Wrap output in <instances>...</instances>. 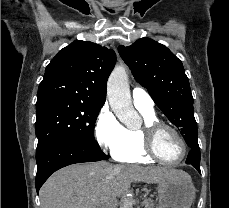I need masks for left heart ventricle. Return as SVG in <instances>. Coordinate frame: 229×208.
I'll list each match as a JSON object with an SVG mask.
<instances>
[{"instance_id": "left-heart-ventricle-1", "label": "left heart ventricle", "mask_w": 229, "mask_h": 208, "mask_svg": "<svg viewBox=\"0 0 229 208\" xmlns=\"http://www.w3.org/2000/svg\"><path fill=\"white\" fill-rule=\"evenodd\" d=\"M169 135V129H163L158 139H154V152H159L161 160H177L185 153V147H178V143H174V139Z\"/></svg>"}]
</instances>
